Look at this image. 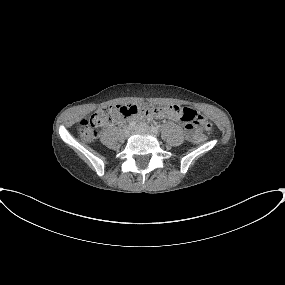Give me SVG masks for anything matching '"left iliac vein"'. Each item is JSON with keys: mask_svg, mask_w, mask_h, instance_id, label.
Instances as JSON below:
<instances>
[{"mask_svg": "<svg viewBox=\"0 0 285 285\" xmlns=\"http://www.w3.org/2000/svg\"><path fill=\"white\" fill-rule=\"evenodd\" d=\"M135 131H146L149 132L150 128L146 124L136 125L134 128Z\"/></svg>", "mask_w": 285, "mask_h": 285, "instance_id": "obj_1", "label": "left iliac vein"}]
</instances>
